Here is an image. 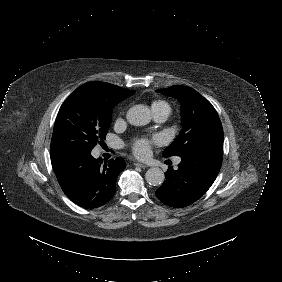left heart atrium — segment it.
Masks as SVG:
<instances>
[{
	"mask_svg": "<svg viewBox=\"0 0 282 282\" xmlns=\"http://www.w3.org/2000/svg\"><path fill=\"white\" fill-rule=\"evenodd\" d=\"M135 154L142 159H145L149 156L150 146L147 141H140L135 146Z\"/></svg>",
	"mask_w": 282,
	"mask_h": 282,
	"instance_id": "1",
	"label": "left heart atrium"
}]
</instances>
